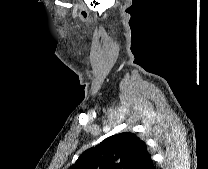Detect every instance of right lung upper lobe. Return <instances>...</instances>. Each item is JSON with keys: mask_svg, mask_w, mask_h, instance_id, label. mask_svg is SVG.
I'll return each instance as SVG.
<instances>
[{"mask_svg": "<svg viewBox=\"0 0 208 169\" xmlns=\"http://www.w3.org/2000/svg\"><path fill=\"white\" fill-rule=\"evenodd\" d=\"M151 163L146 143L125 132L87 149L68 169H147Z\"/></svg>", "mask_w": 208, "mask_h": 169, "instance_id": "obj_1", "label": "right lung upper lobe"}]
</instances>
